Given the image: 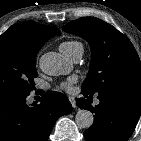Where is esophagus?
<instances>
[{
  "mask_svg": "<svg viewBox=\"0 0 141 141\" xmlns=\"http://www.w3.org/2000/svg\"><path fill=\"white\" fill-rule=\"evenodd\" d=\"M69 101H70L72 107H73V108H76V100H75V98L72 97V96H70V97H69Z\"/></svg>",
  "mask_w": 141,
  "mask_h": 141,
  "instance_id": "34e87169",
  "label": "esophagus"
}]
</instances>
